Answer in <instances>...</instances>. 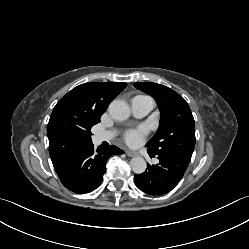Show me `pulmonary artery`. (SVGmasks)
Here are the masks:
<instances>
[{
  "label": "pulmonary artery",
  "mask_w": 249,
  "mask_h": 249,
  "mask_svg": "<svg viewBox=\"0 0 249 249\" xmlns=\"http://www.w3.org/2000/svg\"><path fill=\"white\" fill-rule=\"evenodd\" d=\"M154 107V101L149 96L139 95L131 100V110L134 116L143 117L147 115ZM115 131H104L96 135L99 142L111 139Z\"/></svg>",
  "instance_id": "obj_1"
}]
</instances>
